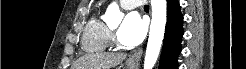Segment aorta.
<instances>
[{"instance_id": "obj_1", "label": "aorta", "mask_w": 246, "mask_h": 69, "mask_svg": "<svg viewBox=\"0 0 246 69\" xmlns=\"http://www.w3.org/2000/svg\"><path fill=\"white\" fill-rule=\"evenodd\" d=\"M152 19L145 53L144 69H152L158 59L166 25V0H151ZM123 18L117 3H111L105 13L107 24L120 22Z\"/></svg>"}]
</instances>
